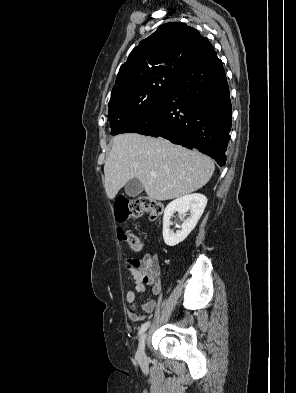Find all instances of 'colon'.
Returning <instances> with one entry per match:
<instances>
[{"label":"colon","instance_id":"obj_1","mask_svg":"<svg viewBox=\"0 0 296 393\" xmlns=\"http://www.w3.org/2000/svg\"><path fill=\"white\" fill-rule=\"evenodd\" d=\"M162 211L163 207L159 202L146 196L138 197L131 201L122 199L115 205V216L119 222L138 218L143 213H147L151 217H157L162 214ZM117 236L119 240L125 241L133 250L140 251L142 249L139 238L124 227L117 228Z\"/></svg>","mask_w":296,"mask_h":393}]
</instances>
